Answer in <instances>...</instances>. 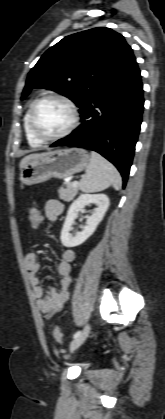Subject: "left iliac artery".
<instances>
[{
	"label": "left iliac artery",
	"instance_id": "left-iliac-artery-1",
	"mask_svg": "<svg viewBox=\"0 0 165 419\" xmlns=\"http://www.w3.org/2000/svg\"><path fill=\"white\" fill-rule=\"evenodd\" d=\"M80 333H81V331H77V332H75V333H74V335H73V338L78 337V336L80 335Z\"/></svg>",
	"mask_w": 165,
	"mask_h": 419
}]
</instances>
